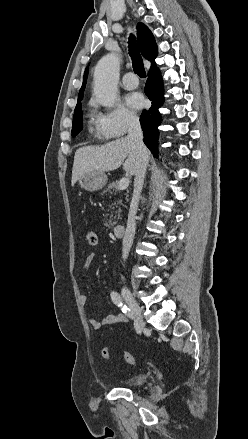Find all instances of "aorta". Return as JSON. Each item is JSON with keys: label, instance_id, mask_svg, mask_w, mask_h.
<instances>
[{"label": "aorta", "instance_id": "aorta-1", "mask_svg": "<svg viewBox=\"0 0 248 439\" xmlns=\"http://www.w3.org/2000/svg\"><path fill=\"white\" fill-rule=\"evenodd\" d=\"M119 66V58L112 53L101 58L95 67L94 93L105 107H113L117 99Z\"/></svg>", "mask_w": 248, "mask_h": 439}]
</instances>
